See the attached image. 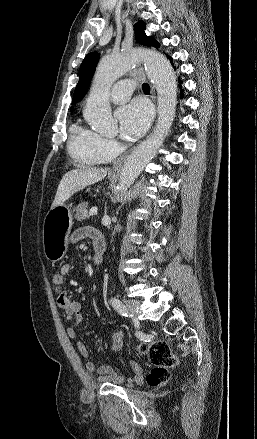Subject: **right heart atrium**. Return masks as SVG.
I'll use <instances>...</instances> for the list:
<instances>
[{
  "label": "right heart atrium",
  "instance_id": "d8ad5b80",
  "mask_svg": "<svg viewBox=\"0 0 257 439\" xmlns=\"http://www.w3.org/2000/svg\"><path fill=\"white\" fill-rule=\"evenodd\" d=\"M116 148L117 142L114 139L97 135L96 149L105 160L110 159L115 154Z\"/></svg>",
  "mask_w": 257,
  "mask_h": 439
}]
</instances>
